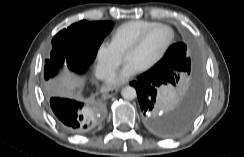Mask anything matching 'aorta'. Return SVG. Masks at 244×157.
Returning <instances> with one entry per match:
<instances>
[{
    "label": "aorta",
    "instance_id": "obj_1",
    "mask_svg": "<svg viewBox=\"0 0 244 157\" xmlns=\"http://www.w3.org/2000/svg\"><path fill=\"white\" fill-rule=\"evenodd\" d=\"M121 95L126 100H133L136 98L137 93L134 87L125 86L121 91Z\"/></svg>",
    "mask_w": 244,
    "mask_h": 157
}]
</instances>
